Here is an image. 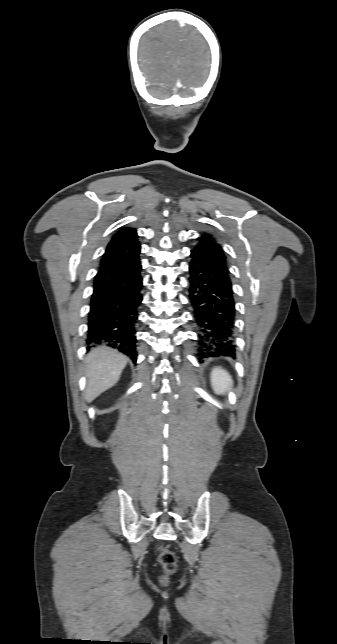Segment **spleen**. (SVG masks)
I'll use <instances>...</instances> for the list:
<instances>
[{
	"label": "spleen",
	"instance_id": "3e777b00",
	"mask_svg": "<svg viewBox=\"0 0 337 644\" xmlns=\"http://www.w3.org/2000/svg\"><path fill=\"white\" fill-rule=\"evenodd\" d=\"M211 386L216 394H225L233 386L232 377L226 370L215 367L211 372Z\"/></svg>",
	"mask_w": 337,
	"mask_h": 644
}]
</instances>
